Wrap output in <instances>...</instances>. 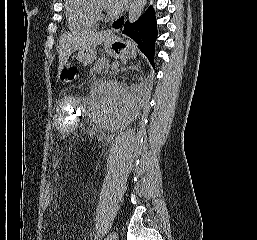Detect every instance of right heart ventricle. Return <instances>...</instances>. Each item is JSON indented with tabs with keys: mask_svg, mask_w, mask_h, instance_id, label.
Wrapping results in <instances>:
<instances>
[{
	"mask_svg": "<svg viewBox=\"0 0 257 240\" xmlns=\"http://www.w3.org/2000/svg\"><path fill=\"white\" fill-rule=\"evenodd\" d=\"M65 14L71 29H90L98 25L99 18L92 13L87 0H65Z\"/></svg>",
	"mask_w": 257,
	"mask_h": 240,
	"instance_id": "e07e8e85",
	"label": "right heart ventricle"
}]
</instances>
